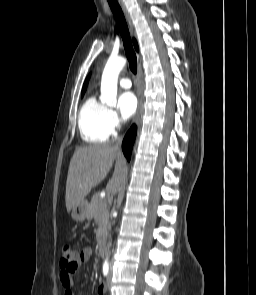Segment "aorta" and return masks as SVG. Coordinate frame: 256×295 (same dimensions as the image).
Here are the masks:
<instances>
[{"label": "aorta", "instance_id": "762f6f07", "mask_svg": "<svg viewBox=\"0 0 256 295\" xmlns=\"http://www.w3.org/2000/svg\"><path fill=\"white\" fill-rule=\"evenodd\" d=\"M125 64L126 59L123 57H110L103 70L100 100L108 106L113 107L117 103L118 75Z\"/></svg>", "mask_w": 256, "mask_h": 295}]
</instances>
